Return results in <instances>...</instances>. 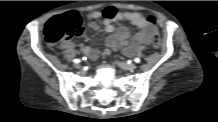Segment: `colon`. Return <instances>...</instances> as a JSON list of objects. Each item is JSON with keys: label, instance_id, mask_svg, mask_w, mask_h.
<instances>
[{"label": "colon", "instance_id": "obj_1", "mask_svg": "<svg viewBox=\"0 0 218 122\" xmlns=\"http://www.w3.org/2000/svg\"><path fill=\"white\" fill-rule=\"evenodd\" d=\"M147 21L154 25L156 18L153 15L146 16ZM83 31V21L81 15L76 11H70L53 17L48 21L44 29L46 41L55 45L73 36H78ZM152 43L155 48L160 46V38L157 33L152 36Z\"/></svg>", "mask_w": 218, "mask_h": 122}]
</instances>
